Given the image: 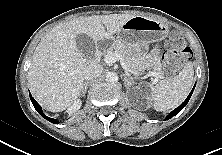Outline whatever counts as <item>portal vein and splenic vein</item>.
I'll return each mask as SVG.
<instances>
[{
	"label": "portal vein and splenic vein",
	"mask_w": 222,
	"mask_h": 155,
	"mask_svg": "<svg viewBox=\"0 0 222 155\" xmlns=\"http://www.w3.org/2000/svg\"><path fill=\"white\" fill-rule=\"evenodd\" d=\"M104 61L106 64H109V65L115 63L116 61H120L121 66L123 67L125 72L131 71V69L126 65L123 57L120 54H118L117 52H112V53L106 54L104 57ZM149 75L153 76L155 78L154 82H157L158 79L161 78V75L155 71H150Z\"/></svg>",
	"instance_id": "obj_1"
}]
</instances>
